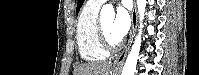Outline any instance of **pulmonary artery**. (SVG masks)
Listing matches in <instances>:
<instances>
[{"label": "pulmonary artery", "mask_w": 199, "mask_h": 75, "mask_svg": "<svg viewBox=\"0 0 199 75\" xmlns=\"http://www.w3.org/2000/svg\"><path fill=\"white\" fill-rule=\"evenodd\" d=\"M106 1L104 0H92V1H88L89 5L91 6H97L100 7L102 4H104Z\"/></svg>", "instance_id": "pulmonary-artery-1"}]
</instances>
